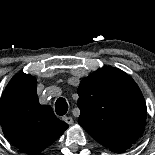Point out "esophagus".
I'll return each instance as SVG.
<instances>
[{"label":"esophagus","mask_w":155,"mask_h":155,"mask_svg":"<svg viewBox=\"0 0 155 155\" xmlns=\"http://www.w3.org/2000/svg\"><path fill=\"white\" fill-rule=\"evenodd\" d=\"M63 120H64L67 124H69V125H72L73 122H74L73 118L70 117V116H65V117H63Z\"/></svg>","instance_id":"esophagus-1"}]
</instances>
